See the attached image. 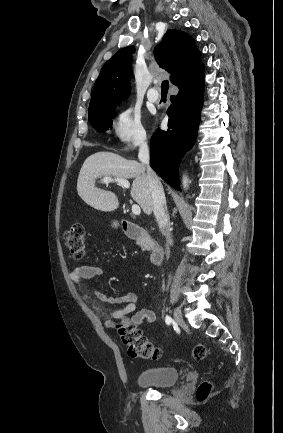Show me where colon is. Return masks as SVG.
I'll return each mask as SVG.
<instances>
[{
  "label": "colon",
  "mask_w": 283,
  "mask_h": 433,
  "mask_svg": "<svg viewBox=\"0 0 283 433\" xmlns=\"http://www.w3.org/2000/svg\"><path fill=\"white\" fill-rule=\"evenodd\" d=\"M64 242L71 256L80 260L85 255L86 234L81 222H74L64 235ZM122 343L127 347L128 355L132 358L156 359L160 355L158 347L153 345L142 333L141 329L134 325L129 318H123L115 324ZM207 349L203 345L195 346L193 355L197 360L207 357ZM212 385L203 382L196 391L198 401L208 398Z\"/></svg>",
  "instance_id": "obj_1"
}]
</instances>
